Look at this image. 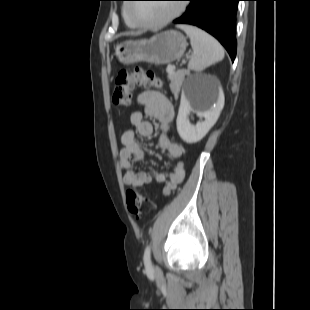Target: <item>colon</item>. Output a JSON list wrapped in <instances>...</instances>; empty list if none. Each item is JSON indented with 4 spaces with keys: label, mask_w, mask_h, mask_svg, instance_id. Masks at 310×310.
<instances>
[{
    "label": "colon",
    "mask_w": 310,
    "mask_h": 310,
    "mask_svg": "<svg viewBox=\"0 0 310 310\" xmlns=\"http://www.w3.org/2000/svg\"><path fill=\"white\" fill-rule=\"evenodd\" d=\"M159 87L160 81L151 70L136 67L133 70H121L117 73L114 82L112 101L117 107H126L130 104L134 86ZM126 203L132 216L140 219L143 215V197L135 188L126 192Z\"/></svg>",
    "instance_id": "colon-1"
}]
</instances>
